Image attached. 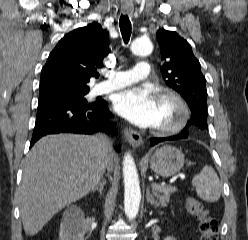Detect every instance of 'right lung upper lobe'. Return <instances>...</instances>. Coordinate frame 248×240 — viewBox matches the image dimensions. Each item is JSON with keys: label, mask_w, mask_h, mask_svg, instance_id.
I'll use <instances>...</instances> for the list:
<instances>
[{"label": "right lung upper lobe", "mask_w": 248, "mask_h": 240, "mask_svg": "<svg viewBox=\"0 0 248 240\" xmlns=\"http://www.w3.org/2000/svg\"><path fill=\"white\" fill-rule=\"evenodd\" d=\"M109 37L97 22L66 34L50 53L41 71L39 101L89 92L108 52Z\"/></svg>", "instance_id": "right-lung-upper-lobe-1"}]
</instances>
